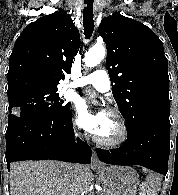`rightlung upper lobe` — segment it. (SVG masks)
Segmentation results:
<instances>
[{"instance_id":"right-lung-upper-lobe-1","label":"right lung upper lobe","mask_w":178,"mask_h":195,"mask_svg":"<svg viewBox=\"0 0 178 195\" xmlns=\"http://www.w3.org/2000/svg\"><path fill=\"white\" fill-rule=\"evenodd\" d=\"M79 46V30L61 9L30 23L10 56L8 96L29 89L58 90L59 81L71 71Z\"/></svg>"}]
</instances>
